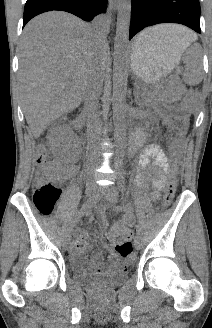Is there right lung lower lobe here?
Returning a JSON list of instances; mask_svg holds the SVG:
<instances>
[{"mask_svg": "<svg viewBox=\"0 0 212 328\" xmlns=\"http://www.w3.org/2000/svg\"><path fill=\"white\" fill-rule=\"evenodd\" d=\"M107 0H27L24 8L23 26L38 14L59 10L72 13L85 21H91L106 11Z\"/></svg>", "mask_w": 212, "mask_h": 328, "instance_id": "obj_1", "label": "right lung lower lobe"}]
</instances>
